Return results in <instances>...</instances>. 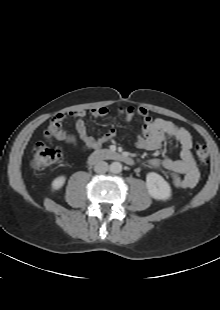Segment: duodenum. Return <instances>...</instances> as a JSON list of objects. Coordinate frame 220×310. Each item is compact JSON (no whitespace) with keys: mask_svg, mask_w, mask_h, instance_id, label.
<instances>
[{"mask_svg":"<svg viewBox=\"0 0 220 310\" xmlns=\"http://www.w3.org/2000/svg\"><path fill=\"white\" fill-rule=\"evenodd\" d=\"M113 160V161H119L122 163H125L127 165L133 164V159L129 157L128 155H125L124 153L113 151L109 149H101L93 152L89 158L88 162L90 164L97 163L100 160Z\"/></svg>","mask_w":220,"mask_h":310,"instance_id":"duodenum-1","label":"duodenum"}]
</instances>
